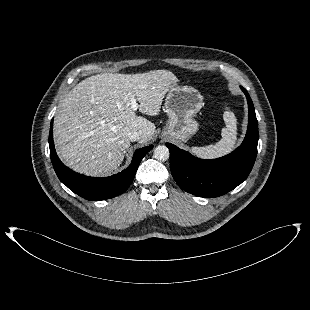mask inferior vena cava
Listing matches in <instances>:
<instances>
[{
  "label": "inferior vena cava",
  "mask_w": 310,
  "mask_h": 310,
  "mask_svg": "<svg viewBox=\"0 0 310 310\" xmlns=\"http://www.w3.org/2000/svg\"><path fill=\"white\" fill-rule=\"evenodd\" d=\"M130 141H138L141 138V132L137 130H132L128 133Z\"/></svg>",
  "instance_id": "inferior-vena-cava-1"
}]
</instances>
